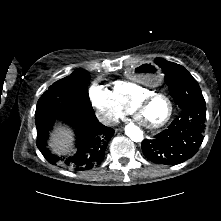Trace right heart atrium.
Wrapping results in <instances>:
<instances>
[{"mask_svg": "<svg viewBox=\"0 0 221 221\" xmlns=\"http://www.w3.org/2000/svg\"><path fill=\"white\" fill-rule=\"evenodd\" d=\"M89 97L99 119L105 124H114L127 113V109L103 85L93 83L89 89Z\"/></svg>", "mask_w": 221, "mask_h": 221, "instance_id": "d8ad5b80", "label": "right heart atrium"}]
</instances>
